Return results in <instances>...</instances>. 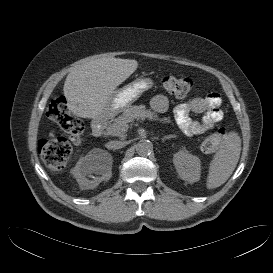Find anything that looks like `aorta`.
I'll return each mask as SVG.
<instances>
[{
  "label": "aorta",
  "mask_w": 273,
  "mask_h": 273,
  "mask_svg": "<svg viewBox=\"0 0 273 273\" xmlns=\"http://www.w3.org/2000/svg\"><path fill=\"white\" fill-rule=\"evenodd\" d=\"M153 151V144L151 141L142 139L136 144V152L140 156L150 155Z\"/></svg>",
  "instance_id": "obj_1"
}]
</instances>
